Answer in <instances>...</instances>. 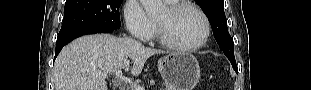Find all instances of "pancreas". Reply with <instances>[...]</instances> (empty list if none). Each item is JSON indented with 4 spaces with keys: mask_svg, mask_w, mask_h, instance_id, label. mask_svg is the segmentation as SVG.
Returning <instances> with one entry per match:
<instances>
[{
    "mask_svg": "<svg viewBox=\"0 0 311 90\" xmlns=\"http://www.w3.org/2000/svg\"><path fill=\"white\" fill-rule=\"evenodd\" d=\"M130 90H132V88H130ZM167 90H173V89L168 87Z\"/></svg>",
    "mask_w": 311,
    "mask_h": 90,
    "instance_id": "pancreas-1",
    "label": "pancreas"
}]
</instances>
